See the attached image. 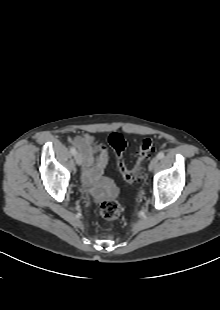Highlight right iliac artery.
<instances>
[{"label": "right iliac artery", "mask_w": 220, "mask_h": 310, "mask_svg": "<svg viewBox=\"0 0 220 310\" xmlns=\"http://www.w3.org/2000/svg\"><path fill=\"white\" fill-rule=\"evenodd\" d=\"M70 152L72 155H76L77 151L74 147H71Z\"/></svg>", "instance_id": "1"}]
</instances>
